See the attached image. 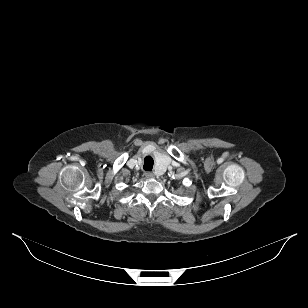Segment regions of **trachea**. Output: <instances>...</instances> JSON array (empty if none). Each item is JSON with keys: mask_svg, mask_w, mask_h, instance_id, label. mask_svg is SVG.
<instances>
[{"mask_svg": "<svg viewBox=\"0 0 308 308\" xmlns=\"http://www.w3.org/2000/svg\"><path fill=\"white\" fill-rule=\"evenodd\" d=\"M153 163H154V162H153L152 157L146 156V157L144 158V165H143L144 170H145V171H151L152 168H153Z\"/></svg>", "mask_w": 308, "mask_h": 308, "instance_id": "3493384b", "label": "trachea"}]
</instances>
